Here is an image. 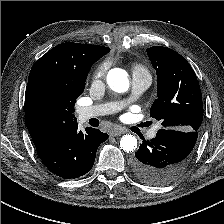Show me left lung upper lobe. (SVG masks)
Listing matches in <instances>:
<instances>
[{"label":"left lung upper lobe","instance_id":"5c2ea615","mask_svg":"<svg viewBox=\"0 0 224 224\" xmlns=\"http://www.w3.org/2000/svg\"><path fill=\"white\" fill-rule=\"evenodd\" d=\"M157 73V95L150 116L163 129L198 132L203 120L202 94L190 64L176 51L161 46L147 49Z\"/></svg>","mask_w":224,"mask_h":224}]
</instances>
